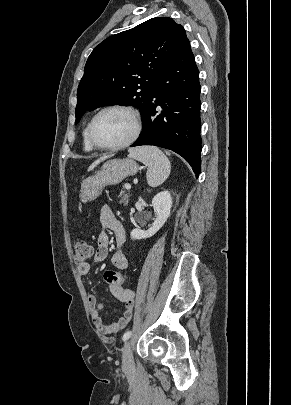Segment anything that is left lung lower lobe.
Here are the masks:
<instances>
[{
    "instance_id": "obj_1",
    "label": "left lung lower lobe",
    "mask_w": 291,
    "mask_h": 405,
    "mask_svg": "<svg viewBox=\"0 0 291 405\" xmlns=\"http://www.w3.org/2000/svg\"><path fill=\"white\" fill-rule=\"evenodd\" d=\"M200 89L199 71L187 38L154 82L142 117L144 132L131 146L154 145L172 150L190 164L198 177L202 143Z\"/></svg>"
}]
</instances>
